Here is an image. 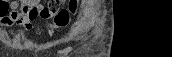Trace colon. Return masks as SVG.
<instances>
[{"label":"colon","mask_w":172,"mask_h":57,"mask_svg":"<svg viewBox=\"0 0 172 57\" xmlns=\"http://www.w3.org/2000/svg\"><path fill=\"white\" fill-rule=\"evenodd\" d=\"M59 6L60 1L54 0L51 1L48 6L38 11L37 8L30 7L27 3H25L21 9V12L23 14L29 15L30 17H35L37 14L46 15L50 12H53V14L55 13L53 23L49 27H47V31L49 33H52L54 29L64 28L70 23L72 16L77 10V1L72 0L68 8L59 9Z\"/></svg>","instance_id":"obj_1"}]
</instances>
